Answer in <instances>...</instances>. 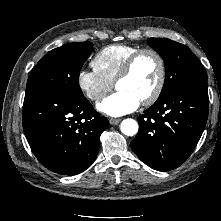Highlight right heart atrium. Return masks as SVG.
Segmentation results:
<instances>
[{
	"label": "right heart atrium",
	"instance_id": "right-heart-atrium-1",
	"mask_svg": "<svg viewBox=\"0 0 221 221\" xmlns=\"http://www.w3.org/2000/svg\"><path fill=\"white\" fill-rule=\"evenodd\" d=\"M77 85L84 96L95 103L101 101L113 88V83L95 69H81L77 76Z\"/></svg>",
	"mask_w": 221,
	"mask_h": 221
}]
</instances>
